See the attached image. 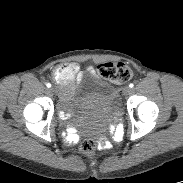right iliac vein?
I'll return each instance as SVG.
<instances>
[{"instance_id":"obj_1","label":"right iliac vein","mask_w":183,"mask_h":183,"mask_svg":"<svg viewBox=\"0 0 183 183\" xmlns=\"http://www.w3.org/2000/svg\"><path fill=\"white\" fill-rule=\"evenodd\" d=\"M50 91L53 92V93H56V88L51 87V88H50Z\"/></svg>"}]
</instances>
